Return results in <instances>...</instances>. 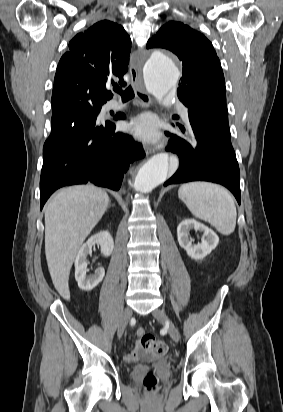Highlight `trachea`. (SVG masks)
Listing matches in <instances>:
<instances>
[{"mask_svg": "<svg viewBox=\"0 0 283 412\" xmlns=\"http://www.w3.org/2000/svg\"><path fill=\"white\" fill-rule=\"evenodd\" d=\"M114 91L121 95L123 102L129 101L130 99L134 98V91L131 86H129L124 91L120 87H115Z\"/></svg>", "mask_w": 283, "mask_h": 412, "instance_id": "trachea-1", "label": "trachea"}]
</instances>
